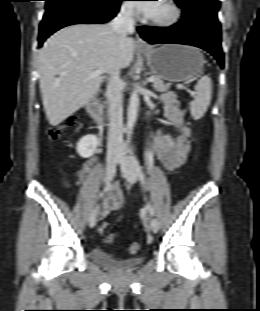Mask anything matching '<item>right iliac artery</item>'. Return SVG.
Listing matches in <instances>:
<instances>
[{"mask_svg": "<svg viewBox=\"0 0 260 311\" xmlns=\"http://www.w3.org/2000/svg\"><path fill=\"white\" fill-rule=\"evenodd\" d=\"M110 185L109 183L104 187V189L100 192L98 198H101L105 195V193L107 192V190L109 189Z\"/></svg>", "mask_w": 260, "mask_h": 311, "instance_id": "obj_1", "label": "right iliac artery"}]
</instances>
